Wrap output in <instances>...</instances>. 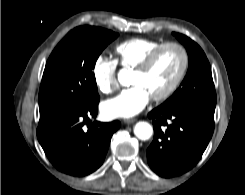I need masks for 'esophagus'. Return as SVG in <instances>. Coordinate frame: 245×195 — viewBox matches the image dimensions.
Wrapping results in <instances>:
<instances>
[{
  "label": "esophagus",
  "mask_w": 245,
  "mask_h": 195,
  "mask_svg": "<svg viewBox=\"0 0 245 195\" xmlns=\"http://www.w3.org/2000/svg\"><path fill=\"white\" fill-rule=\"evenodd\" d=\"M135 121H136L135 118L125 119V120H124V122H125L126 124H132V123H134Z\"/></svg>",
  "instance_id": "1"
}]
</instances>
